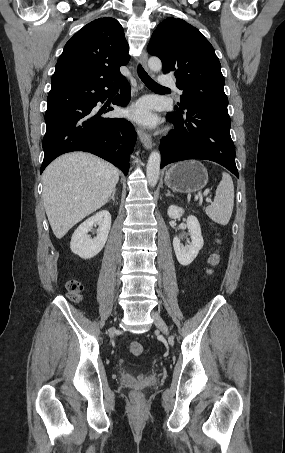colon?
<instances>
[{"instance_id":"obj_1","label":"colon","mask_w":285,"mask_h":453,"mask_svg":"<svg viewBox=\"0 0 285 453\" xmlns=\"http://www.w3.org/2000/svg\"><path fill=\"white\" fill-rule=\"evenodd\" d=\"M221 263V255L220 250L217 249L210 257H209V264L211 268L209 269V273L212 274L214 269L217 268ZM67 290L68 296L73 301H79L82 296V292L84 290L83 284L76 280L71 279L67 282ZM128 349L130 353L134 356H141L144 353V346L138 341H130L128 343Z\"/></svg>"}]
</instances>
